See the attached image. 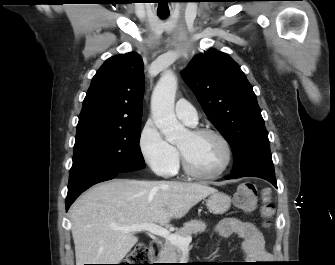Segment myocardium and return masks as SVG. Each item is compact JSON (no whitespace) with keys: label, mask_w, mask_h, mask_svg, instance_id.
<instances>
[{"label":"myocardium","mask_w":335,"mask_h":265,"mask_svg":"<svg viewBox=\"0 0 335 265\" xmlns=\"http://www.w3.org/2000/svg\"><path fill=\"white\" fill-rule=\"evenodd\" d=\"M192 136L194 137H202V136H214L216 137L223 145L224 150H225V159L223 164L221 165V167L213 172V173H201L196 171L194 168H192V166L189 164L185 154L183 153V151L179 148V153H180V158H181V163H182V167L184 172L195 179H199V180H214L219 178L220 176H222L226 170L229 168L231 162H232V158H233V151H232V147L230 142L228 141V139L219 131L213 130V129H209V128H200V129H193L189 132Z\"/></svg>","instance_id":"myocardium-1"}]
</instances>
